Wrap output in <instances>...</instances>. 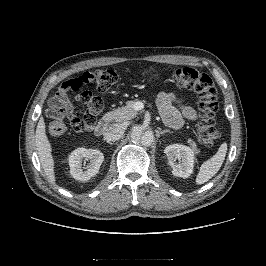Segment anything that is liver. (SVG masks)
I'll return each instance as SVG.
<instances>
[{"label": "liver", "instance_id": "1", "mask_svg": "<svg viewBox=\"0 0 266 266\" xmlns=\"http://www.w3.org/2000/svg\"><path fill=\"white\" fill-rule=\"evenodd\" d=\"M46 126L44 118L40 117L37 124L35 132V143L36 149L38 152V157L41 163V166L49 180V182H55V172H54V159L52 156V146L46 135Z\"/></svg>", "mask_w": 266, "mask_h": 266}]
</instances>
